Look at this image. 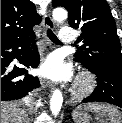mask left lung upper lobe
Here are the masks:
<instances>
[{"label": "left lung upper lobe", "instance_id": "left-lung-upper-lobe-1", "mask_svg": "<svg viewBox=\"0 0 122 123\" xmlns=\"http://www.w3.org/2000/svg\"><path fill=\"white\" fill-rule=\"evenodd\" d=\"M69 13V25L80 28L84 44L75 53V61L87 69L104 66L122 67V54L115 20L106 0H53Z\"/></svg>", "mask_w": 122, "mask_h": 123}]
</instances>
